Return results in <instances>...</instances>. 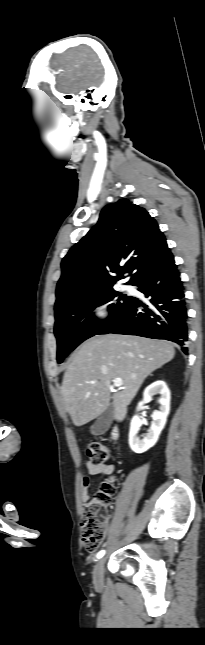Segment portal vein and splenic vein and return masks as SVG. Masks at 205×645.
<instances>
[{"label":"portal vein and splenic vein","mask_w":205,"mask_h":645,"mask_svg":"<svg viewBox=\"0 0 205 645\" xmlns=\"http://www.w3.org/2000/svg\"><path fill=\"white\" fill-rule=\"evenodd\" d=\"M92 383H94V382H92ZM113 383H114V386L117 387V388H120V387L123 386V381H122L121 378L114 379Z\"/></svg>","instance_id":"1"}]
</instances>
